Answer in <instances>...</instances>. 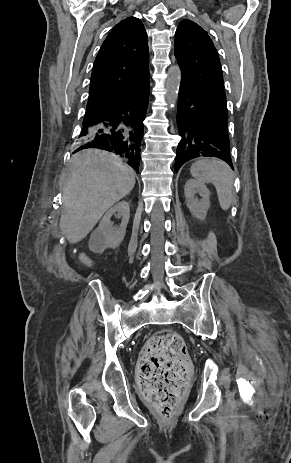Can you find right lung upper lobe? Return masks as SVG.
<instances>
[{
	"label": "right lung upper lobe",
	"mask_w": 291,
	"mask_h": 463,
	"mask_svg": "<svg viewBox=\"0 0 291 463\" xmlns=\"http://www.w3.org/2000/svg\"><path fill=\"white\" fill-rule=\"evenodd\" d=\"M148 37L142 22H119L104 40L91 75L85 119L119 107L127 97L149 85Z\"/></svg>",
	"instance_id": "right-lung-upper-lobe-1"
}]
</instances>
